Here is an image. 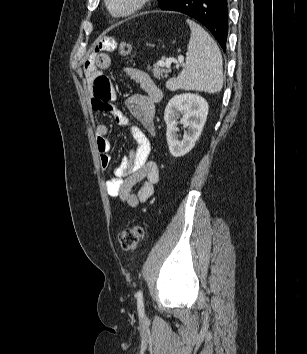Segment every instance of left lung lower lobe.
<instances>
[{"mask_svg":"<svg viewBox=\"0 0 307 354\" xmlns=\"http://www.w3.org/2000/svg\"><path fill=\"white\" fill-rule=\"evenodd\" d=\"M162 10L182 12L202 23L226 50L228 0H170Z\"/></svg>","mask_w":307,"mask_h":354,"instance_id":"1","label":"left lung lower lobe"}]
</instances>
